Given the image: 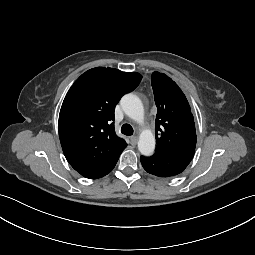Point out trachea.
Instances as JSON below:
<instances>
[{
	"mask_svg": "<svg viewBox=\"0 0 255 255\" xmlns=\"http://www.w3.org/2000/svg\"><path fill=\"white\" fill-rule=\"evenodd\" d=\"M121 132L124 134V135H132L133 134V128L131 125L129 124H123L122 127H121Z\"/></svg>",
	"mask_w": 255,
	"mask_h": 255,
	"instance_id": "obj_1",
	"label": "trachea"
}]
</instances>
